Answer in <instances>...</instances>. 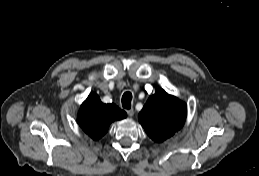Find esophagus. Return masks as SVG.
Wrapping results in <instances>:
<instances>
[{
  "label": "esophagus",
  "mask_w": 259,
  "mask_h": 176,
  "mask_svg": "<svg viewBox=\"0 0 259 176\" xmlns=\"http://www.w3.org/2000/svg\"><path fill=\"white\" fill-rule=\"evenodd\" d=\"M127 114L129 115V117H132L134 115V109H129L127 110Z\"/></svg>",
  "instance_id": "esophagus-1"
}]
</instances>
